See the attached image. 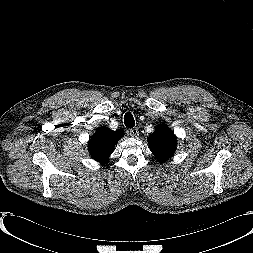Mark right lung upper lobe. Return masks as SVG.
Listing matches in <instances>:
<instances>
[{
  "label": "right lung upper lobe",
  "instance_id": "1",
  "mask_svg": "<svg viewBox=\"0 0 253 253\" xmlns=\"http://www.w3.org/2000/svg\"><path fill=\"white\" fill-rule=\"evenodd\" d=\"M123 136L122 130L112 131L108 127L99 128L88 142V149L92 158L102 164H107L115 144Z\"/></svg>",
  "mask_w": 253,
  "mask_h": 253
}]
</instances>
